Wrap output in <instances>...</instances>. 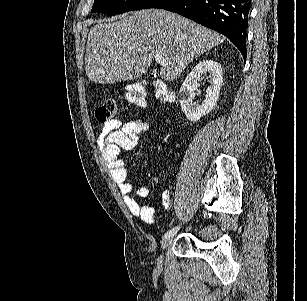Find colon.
I'll use <instances>...</instances> for the list:
<instances>
[{
	"label": "colon",
	"mask_w": 307,
	"mask_h": 301,
	"mask_svg": "<svg viewBox=\"0 0 307 301\" xmlns=\"http://www.w3.org/2000/svg\"><path fill=\"white\" fill-rule=\"evenodd\" d=\"M146 87L144 82H132L127 87L126 99L129 103L137 107L146 105ZM152 87L155 91L156 98L161 102L172 101L174 95L168 86L162 81H153ZM97 120L100 123H107L115 120L117 115V105L113 99L104 101L95 111Z\"/></svg>",
	"instance_id": "5ec220e1"
}]
</instances>
